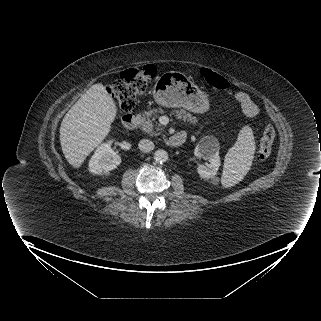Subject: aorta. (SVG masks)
Returning <instances> with one entry per match:
<instances>
[{
    "label": "aorta",
    "instance_id": "1",
    "mask_svg": "<svg viewBox=\"0 0 321 321\" xmlns=\"http://www.w3.org/2000/svg\"><path fill=\"white\" fill-rule=\"evenodd\" d=\"M154 160L157 163H164L168 160V153L163 149H158L154 152Z\"/></svg>",
    "mask_w": 321,
    "mask_h": 321
}]
</instances>
